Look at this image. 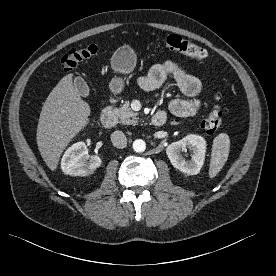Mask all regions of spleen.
<instances>
[{
  "instance_id": "obj_1",
  "label": "spleen",
  "mask_w": 276,
  "mask_h": 276,
  "mask_svg": "<svg viewBox=\"0 0 276 276\" xmlns=\"http://www.w3.org/2000/svg\"><path fill=\"white\" fill-rule=\"evenodd\" d=\"M230 150V139L225 133H220L213 140L209 177L214 178L225 165Z\"/></svg>"
}]
</instances>
